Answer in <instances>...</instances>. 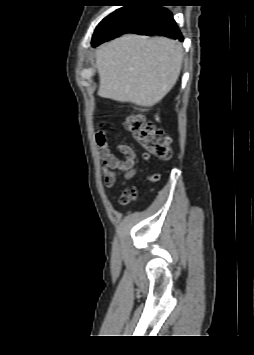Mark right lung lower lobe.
Here are the masks:
<instances>
[{
    "label": "right lung lower lobe",
    "instance_id": "1",
    "mask_svg": "<svg viewBox=\"0 0 254 355\" xmlns=\"http://www.w3.org/2000/svg\"><path fill=\"white\" fill-rule=\"evenodd\" d=\"M163 5L162 0H142L126 4L112 13L92 45L97 46L125 33L160 35L183 41L172 13L162 8Z\"/></svg>",
    "mask_w": 254,
    "mask_h": 355
}]
</instances>
